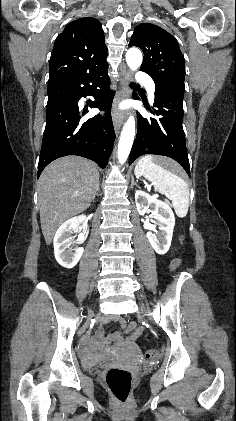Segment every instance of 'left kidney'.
<instances>
[{
  "label": "left kidney",
  "instance_id": "left-kidney-1",
  "mask_svg": "<svg viewBox=\"0 0 236 421\" xmlns=\"http://www.w3.org/2000/svg\"><path fill=\"white\" fill-rule=\"evenodd\" d=\"M135 202L139 215L152 213V219H155L153 223L155 227L160 229V233L149 231L146 237L158 255H165L170 249L173 229L175 227L173 211H171L169 204H166L163 200H158V198L151 196V194L144 192V190H136ZM149 208H151V211H149Z\"/></svg>",
  "mask_w": 236,
  "mask_h": 421
}]
</instances>
